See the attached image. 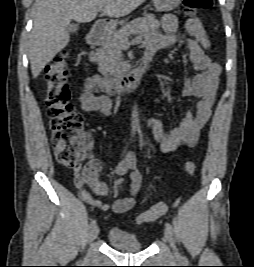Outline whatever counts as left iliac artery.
Wrapping results in <instances>:
<instances>
[{"label": "left iliac artery", "mask_w": 254, "mask_h": 267, "mask_svg": "<svg viewBox=\"0 0 254 267\" xmlns=\"http://www.w3.org/2000/svg\"><path fill=\"white\" fill-rule=\"evenodd\" d=\"M165 225L169 230L173 231L172 225L169 222H166Z\"/></svg>", "instance_id": "1"}]
</instances>
